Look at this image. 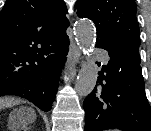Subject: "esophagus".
<instances>
[{"instance_id": "esophagus-1", "label": "esophagus", "mask_w": 151, "mask_h": 131, "mask_svg": "<svg viewBox=\"0 0 151 131\" xmlns=\"http://www.w3.org/2000/svg\"><path fill=\"white\" fill-rule=\"evenodd\" d=\"M80 51L75 43H72L69 49L68 59L66 63V70L70 71L72 68L79 63Z\"/></svg>"}]
</instances>
